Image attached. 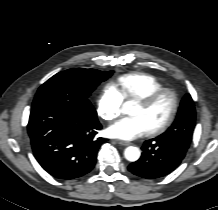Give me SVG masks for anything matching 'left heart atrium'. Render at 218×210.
Masks as SVG:
<instances>
[{
    "label": "left heart atrium",
    "mask_w": 218,
    "mask_h": 210,
    "mask_svg": "<svg viewBox=\"0 0 218 210\" xmlns=\"http://www.w3.org/2000/svg\"><path fill=\"white\" fill-rule=\"evenodd\" d=\"M149 128L141 117L123 118L107 129L110 137L121 140H133L135 138L146 135Z\"/></svg>",
    "instance_id": "obj_1"
}]
</instances>
